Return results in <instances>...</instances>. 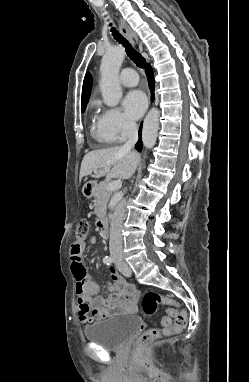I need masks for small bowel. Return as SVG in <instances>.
<instances>
[{
  "mask_svg": "<svg viewBox=\"0 0 249 382\" xmlns=\"http://www.w3.org/2000/svg\"><path fill=\"white\" fill-rule=\"evenodd\" d=\"M96 241L94 236L79 242L70 249L71 270L76 280L77 314L82 324L108 318L114 314L133 312L136 308V292L132 284L120 276L115 269L110 271L111 282L107 284L109 295L104 296L88 275L81 263L83 252L88 244Z\"/></svg>",
  "mask_w": 249,
  "mask_h": 382,
  "instance_id": "1",
  "label": "small bowel"
}]
</instances>
